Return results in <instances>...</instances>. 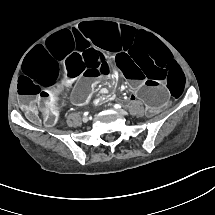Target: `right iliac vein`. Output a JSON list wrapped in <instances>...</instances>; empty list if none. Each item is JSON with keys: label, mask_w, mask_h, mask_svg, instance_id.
I'll use <instances>...</instances> for the list:
<instances>
[{"label": "right iliac vein", "mask_w": 215, "mask_h": 215, "mask_svg": "<svg viewBox=\"0 0 215 215\" xmlns=\"http://www.w3.org/2000/svg\"><path fill=\"white\" fill-rule=\"evenodd\" d=\"M82 120H83V122H87L88 121V117L85 116V117H83Z\"/></svg>", "instance_id": "63e3f726"}]
</instances>
